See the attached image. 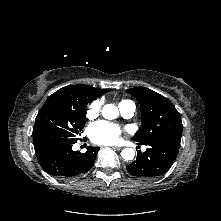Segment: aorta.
<instances>
[{"mask_svg":"<svg viewBox=\"0 0 221 221\" xmlns=\"http://www.w3.org/2000/svg\"><path fill=\"white\" fill-rule=\"evenodd\" d=\"M118 109L113 104H106L102 109V115L107 119H113L117 116ZM121 156L125 160H132L135 156V151L132 148H125L121 152Z\"/></svg>","mask_w":221,"mask_h":221,"instance_id":"obj_1","label":"aorta"}]
</instances>
